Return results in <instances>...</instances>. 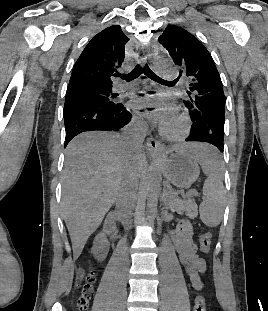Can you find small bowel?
<instances>
[{"mask_svg":"<svg viewBox=\"0 0 268 311\" xmlns=\"http://www.w3.org/2000/svg\"><path fill=\"white\" fill-rule=\"evenodd\" d=\"M171 239L178 253L179 262L189 277L194 289L203 288L200 275L206 271V262L198 253L193 228L188 219H181L176 228L170 232Z\"/></svg>","mask_w":268,"mask_h":311,"instance_id":"obj_1","label":"small bowel"}]
</instances>
